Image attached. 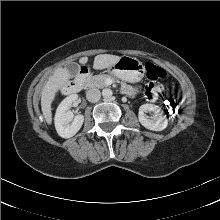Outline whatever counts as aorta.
Segmentation results:
<instances>
[{"mask_svg":"<svg viewBox=\"0 0 220 220\" xmlns=\"http://www.w3.org/2000/svg\"><path fill=\"white\" fill-rule=\"evenodd\" d=\"M112 95H113V92H112L111 89L106 88V89H103V90H102V96H103L105 99L111 98Z\"/></svg>","mask_w":220,"mask_h":220,"instance_id":"762f6f07","label":"aorta"}]
</instances>
